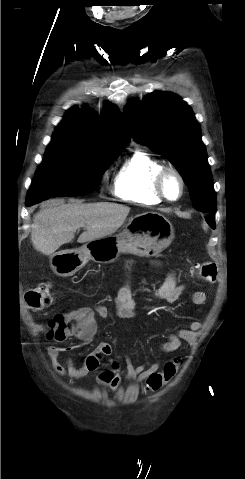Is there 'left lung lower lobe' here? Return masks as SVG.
<instances>
[{"instance_id":"obj_1","label":"left lung lower lobe","mask_w":245,"mask_h":479,"mask_svg":"<svg viewBox=\"0 0 245 479\" xmlns=\"http://www.w3.org/2000/svg\"><path fill=\"white\" fill-rule=\"evenodd\" d=\"M206 221L213 229L215 228V216L213 213L208 214Z\"/></svg>"}]
</instances>
